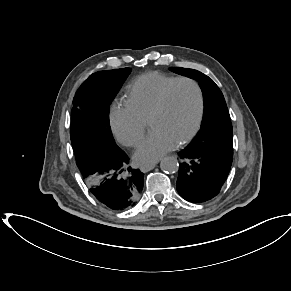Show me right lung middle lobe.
I'll return each instance as SVG.
<instances>
[{
  "label": "right lung middle lobe",
  "instance_id": "dd1d6c3e",
  "mask_svg": "<svg viewBox=\"0 0 291 291\" xmlns=\"http://www.w3.org/2000/svg\"><path fill=\"white\" fill-rule=\"evenodd\" d=\"M130 68L106 70L90 75L73 99L70 137L79 168L96 159L118 154L109 123V107Z\"/></svg>",
  "mask_w": 291,
  "mask_h": 291
}]
</instances>
